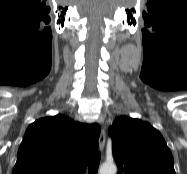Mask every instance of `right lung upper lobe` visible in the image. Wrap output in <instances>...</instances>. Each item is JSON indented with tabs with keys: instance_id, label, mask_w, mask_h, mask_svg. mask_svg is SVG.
Here are the masks:
<instances>
[{
	"instance_id": "obj_1",
	"label": "right lung upper lobe",
	"mask_w": 187,
	"mask_h": 174,
	"mask_svg": "<svg viewBox=\"0 0 187 174\" xmlns=\"http://www.w3.org/2000/svg\"><path fill=\"white\" fill-rule=\"evenodd\" d=\"M100 127L58 114L30 124L12 174H83Z\"/></svg>"
}]
</instances>
